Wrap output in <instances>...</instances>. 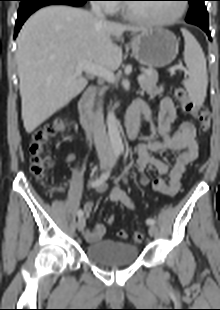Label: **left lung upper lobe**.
<instances>
[{"label": "left lung upper lobe", "mask_w": 220, "mask_h": 310, "mask_svg": "<svg viewBox=\"0 0 220 310\" xmlns=\"http://www.w3.org/2000/svg\"><path fill=\"white\" fill-rule=\"evenodd\" d=\"M190 9L186 21L197 26H208V13L204 5L205 0H187Z\"/></svg>", "instance_id": "obj_1"}]
</instances>
